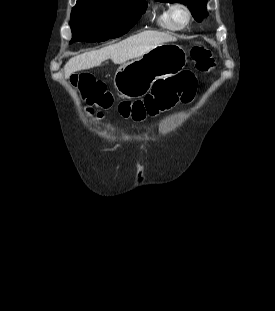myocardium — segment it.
<instances>
[{
    "label": "myocardium",
    "instance_id": "obj_1",
    "mask_svg": "<svg viewBox=\"0 0 275 311\" xmlns=\"http://www.w3.org/2000/svg\"><path fill=\"white\" fill-rule=\"evenodd\" d=\"M178 10H181L185 13L186 15V20L185 22L180 25L178 24L176 21H175V12L178 11ZM169 18H170V22L171 24L173 25V27L177 30H182V29H185L191 22V19H192V13L190 11V9L182 4V3H176V4H173L170 8H169Z\"/></svg>",
    "mask_w": 275,
    "mask_h": 311
}]
</instances>
